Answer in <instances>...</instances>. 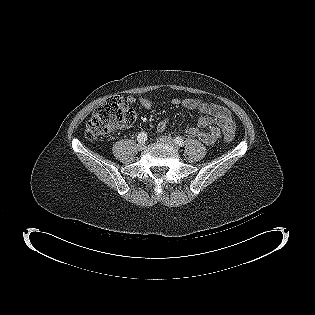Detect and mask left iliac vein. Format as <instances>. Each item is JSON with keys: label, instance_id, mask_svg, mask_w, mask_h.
Returning <instances> with one entry per match:
<instances>
[{"label": "left iliac vein", "instance_id": "obj_1", "mask_svg": "<svg viewBox=\"0 0 315 315\" xmlns=\"http://www.w3.org/2000/svg\"><path fill=\"white\" fill-rule=\"evenodd\" d=\"M159 141L173 147L175 150L178 149V146L175 143V141L169 136H160Z\"/></svg>", "mask_w": 315, "mask_h": 315}]
</instances>
